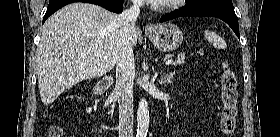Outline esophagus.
<instances>
[{
	"label": "esophagus",
	"mask_w": 280,
	"mask_h": 137,
	"mask_svg": "<svg viewBox=\"0 0 280 137\" xmlns=\"http://www.w3.org/2000/svg\"><path fill=\"white\" fill-rule=\"evenodd\" d=\"M155 30L154 26L152 24H147L145 27V32L146 33H151Z\"/></svg>",
	"instance_id": "obj_1"
}]
</instances>
